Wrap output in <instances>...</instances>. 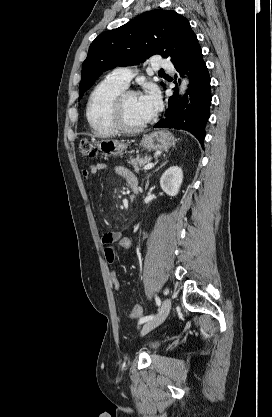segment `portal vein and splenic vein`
I'll return each instance as SVG.
<instances>
[{
	"label": "portal vein and splenic vein",
	"mask_w": 272,
	"mask_h": 417,
	"mask_svg": "<svg viewBox=\"0 0 272 417\" xmlns=\"http://www.w3.org/2000/svg\"><path fill=\"white\" fill-rule=\"evenodd\" d=\"M153 167H154V163H149L144 166V170H149V169H152Z\"/></svg>",
	"instance_id": "18ae733b"
}]
</instances>
